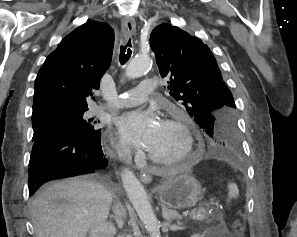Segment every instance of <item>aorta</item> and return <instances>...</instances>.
Wrapping results in <instances>:
<instances>
[{
    "label": "aorta",
    "mask_w": 297,
    "mask_h": 237,
    "mask_svg": "<svg viewBox=\"0 0 297 237\" xmlns=\"http://www.w3.org/2000/svg\"><path fill=\"white\" fill-rule=\"evenodd\" d=\"M150 67V57L137 56L127 65L125 76L130 79L139 78L143 76ZM121 178L126 194L137 212L138 217L146 226L147 231L151 237H160V222L153 211L143 185L129 169L122 171Z\"/></svg>",
    "instance_id": "762f6f07"
}]
</instances>
